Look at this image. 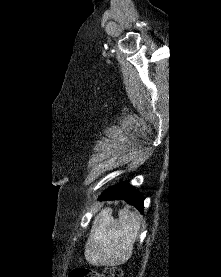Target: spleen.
I'll use <instances>...</instances> for the list:
<instances>
[{"label":"spleen","instance_id":"spleen-1","mask_svg":"<svg viewBox=\"0 0 221 277\" xmlns=\"http://www.w3.org/2000/svg\"><path fill=\"white\" fill-rule=\"evenodd\" d=\"M139 230V218L134 212L119 210V219L114 220L108 210H103L95 218L85 245L86 260L93 265L107 266L127 262Z\"/></svg>","mask_w":221,"mask_h":277}]
</instances>
